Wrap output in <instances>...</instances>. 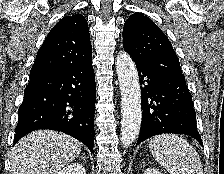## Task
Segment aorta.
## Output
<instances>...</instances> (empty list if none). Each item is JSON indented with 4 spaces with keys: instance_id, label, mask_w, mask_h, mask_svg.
<instances>
[{
    "instance_id": "obj_1",
    "label": "aorta",
    "mask_w": 224,
    "mask_h": 174,
    "mask_svg": "<svg viewBox=\"0 0 224 174\" xmlns=\"http://www.w3.org/2000/svg\"><path fill=\"white\" fill-rule=\"evenodd\" d=\"M116 72L121 90V144L130 146L137 138L142 119L141 91L136 66L125 52L116 58Z\"/></svg>"
}]
</instances>
